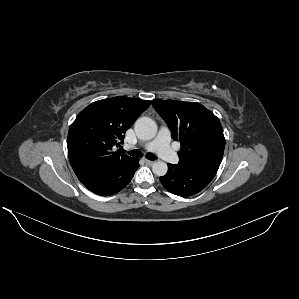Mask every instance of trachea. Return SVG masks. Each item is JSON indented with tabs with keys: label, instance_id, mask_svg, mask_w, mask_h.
<instances>
[{
	"label": "trachea",
	"instance_id": "trachea-1",
	"mask_svg": "<svg viewBox=\"0 0 299 299\" xmlns=\"http://www.w3.org/2000/svg\"><path fill=\"white\" fill-rule=\"evenodd\" d=\"M128 154L133 156V157H142V152L138 149L132 150V151L128 152ZM146 158L149 159V160H156L157 156L152 154V153H147Z\"/></svg>",
	"mask_w": 299,
	"mask_h": 299
}]
</instances>
